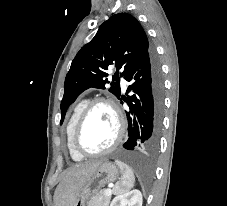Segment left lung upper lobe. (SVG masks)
<instances>
[{
	"label": "left lung upper lobe",
	"instance_id": "obj_1",
	"mask_svg": "<svg viewBox=\"0 0 227 206\" xmlns=\"http://www.w3.org/2000/svg\"><path fill=\"white\" fill-rule=\"evenodd\" d=\"M150 50L143 28L132 15L119 13L111 16L72 61L64 83L60 124L70 104L84 90L90 87L105 89L109 83L105 79L109 65H115L117 69L113 76L115 81L119 70L121 76L125 77ZM109 91L117 98L120 97L119 79L116 83L111 82Z\"/></svg>",
	"mask_w": 227,
	"mask_h": 206
}]
</instances>
